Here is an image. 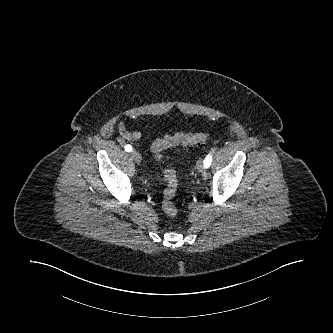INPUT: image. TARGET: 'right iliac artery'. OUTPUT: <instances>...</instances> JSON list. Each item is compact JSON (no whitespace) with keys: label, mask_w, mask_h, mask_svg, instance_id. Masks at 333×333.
Returning a JSON list of instances; mask_svg holds the SVG:
<instances>
[{"label":"right iliac artery","mask_w":333,"mask_h":333,"mask_svg":"<svg viewBox=\"0 0 333 333\" xmlns=\"http://www.w3.org/2000/svg\"><path fill=\"white\" fill-rule=\"evenodd\" d=\"M125 150L127 151V152H131L132 151V146L131 145H126L125 146Z\"/></svg>","instance_id":"right-iliac-artery-1"}]
</instances>
